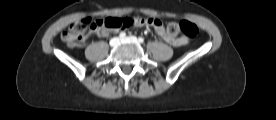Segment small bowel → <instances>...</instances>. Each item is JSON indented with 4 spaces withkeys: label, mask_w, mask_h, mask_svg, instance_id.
<instances>
[{
    "label": "small bowel",
    "mask_w": 276,
    "mask_h": 120,
    "mask_svg": "<svg viewBox=\"0 0 276 120\" xmlns=\"http://www.w3.org/2000/svg\"><path fill=\"white\" fill-rule=\"evenodd\" d=\"M153 27H154L156 33L165 42H167L170 45H173V46H182V45H184L186 43V40L183 37H176V36H172V35L168 34L167 31H166V29H165V27L163 26V23L160 20H157V22L153 24ZM98 33L100 35H102V36L108 35V31L107 30H102V31H99Z\"/></svg>",
    "instance_id": "obj_1"
}]
</instances>
